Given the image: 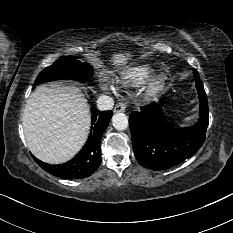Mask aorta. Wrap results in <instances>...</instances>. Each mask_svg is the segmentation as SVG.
<instances>
[{
	"instance_id": "1",
	"label": "aorta",
	"mask_w": 233,
	"mask_h": 233,
	"mask_svg": "<svg viewBox=\"0 0 233 233\" xmlns=\"http://www.w3.org/2000/svg\"><path fill=\"white\" fill-rule=\"evenodd\" d=\"M112 124L118 131L125 130L128 127V117L124 113L118 112L113 115Z\"/></svg>"
}]
</instances>
